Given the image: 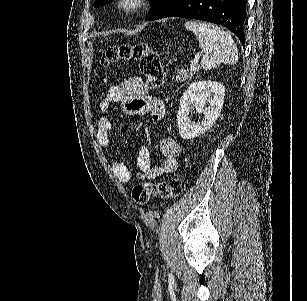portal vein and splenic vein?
<instances>
[{
	"instance_id": "portal-vein-and-splenic-vein-1",
	"label": "portal vein and splenic vein",
	"mask_w": 307,
	"mask_h": 301,
	"mask_svg": "<svg viewBox=\"0 0 307 301\" xmlns=\"http://www.w3.org/2000/svg\"><path fill=\"white\" fill-rule=\"evenodd\" d=\"M196 68H198L197 60H191V62H190V70H196Z\"/></svg>"
}]
</instances>
